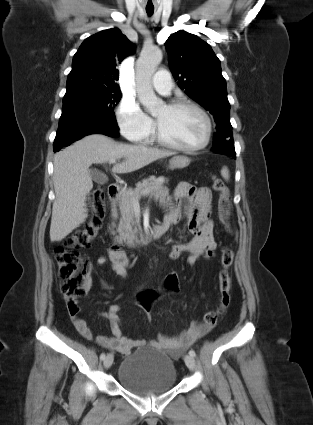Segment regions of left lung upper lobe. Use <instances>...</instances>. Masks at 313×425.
<instances>
[{"instance_id": "obj_1", "label": "left lung upper lobe", "mask_w": 313, "mask_h": 425, "mask_svg": "<svg viewBox=\"0 0 313 425\" xmlns=\"http://www.w3.org/2000/svg\"><path fill=\"white\" fill-rule=\"evenodd\" d=\"M165 46L178 86L214 116L218 131L232 130L226 81L211 46L183 30L170 35ZM229 150L235 151L234 143Z\"/></svg>"}]
</instances>
